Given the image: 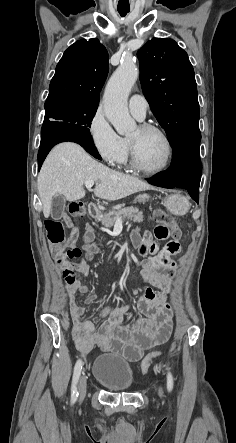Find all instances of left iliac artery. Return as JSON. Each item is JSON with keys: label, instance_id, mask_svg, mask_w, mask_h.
Returning a JSON list of instances; mask_svg holds the SVG:
<instances>
[{"label": "left iliac artery", "instance_id": "44dca946", "mask_svg": "<svg viewBox=\"0 0 236 443\" xmlns=\"http://www.w3.org/2000/svg\"><path fill=\"white\" fill-rule=\"evenodd\" d=\"M173 388V377L172 374L170 372H168L167 375V389L168 391H171Z\"/></svg>", "mask_w": 236, "mask_h": 443}]
</instances>
